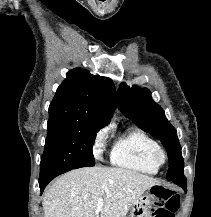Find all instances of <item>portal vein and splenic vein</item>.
<instances>
[{
    "label": "portal vein and splenic vein",
    "mask_w": 211,
    "mask_h": 217,
    "mask_svg": "<svg viewBox=\"0 0 211 217\" xmlns=\"http://www.w3.org/2000/svg\"><path fill=\"white\" fill-rule=\"evenodd\" d=\"M102 207H103V199L100 198V199L98 200L97 210L100 211V210L102 209Z\"/></svg>",
    "instance_id": "obj_1"
}]
</instances>
